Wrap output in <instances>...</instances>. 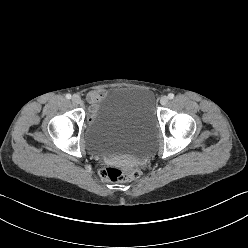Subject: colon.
<instances>
[{"instance_id":"colon-1","label":"colon","mask_w":248,"mask_h":248,"mask_svg":"<svg viewBox=\"0 0 248 248\" xmlns=\"http://www.w3.org/2000/svg\"><path fill=\"white\" fill-rule=\"evenodd\" d=\"M140 174L137 168H121L111 165L100 170V177L108 181H131Z\"/></svg>"}]
</instances>
